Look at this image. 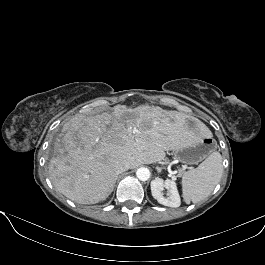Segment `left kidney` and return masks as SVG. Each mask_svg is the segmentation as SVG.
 Returning <instances> with one entry per match:
<instances>
[{
  "instance_id": "obj_1",
  "label": "left kidney",
  "mask_w": 265,
  "mask_h": 265,
  "mask_svg": "<svg viewBox=\"0 0 265 265\" xmlns=\"http://www.w3.org/2000/svg\"><path fill=\"white\" fill-rule=\"evenodd\" d=\"M168 190L167 197L163 196V189ZM152 196L162 205L168 207H179L181 204L180 196L175 181L156 178L151 182Z\"/></svg>"
}]
</instances>
